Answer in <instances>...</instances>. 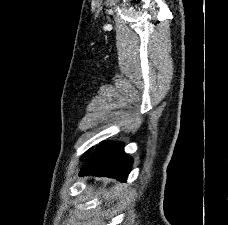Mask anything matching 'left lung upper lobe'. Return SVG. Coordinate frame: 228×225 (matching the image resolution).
Returning <instances> with one entry per match:
<instances>
[{"mask_svg":"<svg viewBox=\"0 0 228 225\" xmlns=\"http://www.w3.org/2000/svg\"><path fill=\"white\" fill-rule=\"evenodd\" d=\"M90 151H91V149H89V150L84 154V156H86ZM84 156H83V157H84Z\"/></svg>","mask_w":228,"mask_h":225,"instance_id":"5c2ea615","label":"left lung upper lobe"}]
</instances>
